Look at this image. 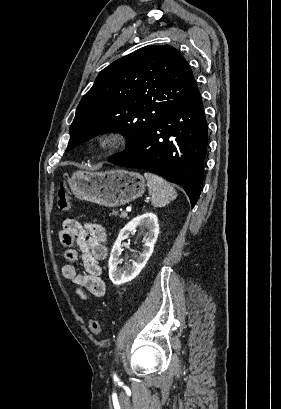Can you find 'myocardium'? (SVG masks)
Here are the masks:
<instances>
[{
    "instance_id": "f54148a6",
    "label": "myocardium",
    "mask_w": 281,
    "mask_h": 409,
    "mask_svg": "<svg viewBox=\"0 0 281 409\" xmlns=\"http://www.w3.org/2000/svg\"><path fill=\"white\" fill-rule=\"evenodd\" d=\"M123 143L122 135L117 131H110L98 137L97 144L102 151H112Z\"/></svg>"
}]
</instances>
